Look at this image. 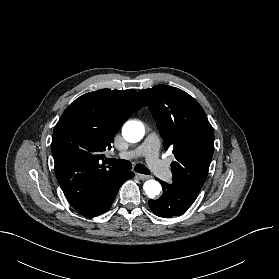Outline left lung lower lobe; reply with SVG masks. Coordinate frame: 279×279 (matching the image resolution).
I'll return each instance as SVG.
<instances>
[{"instance_id": "0a47b994", "label": "left lung lower lobe", "mask_w": 279, "mask_h": 279, "mask_svg": "<svg viewBox=\"0 0 279 279\" xmlns=\"http://www.w3.org/2000/svg\"><path fill=\"white\" fill-rule=\"evenodd\" d=\"M163 188L162 196L157 200H149L148 204L155 215L169 218L183 214L196 200L199 193L183 190L174 184L168 185L160 180Z\"/></svg>"}]
</instances>
